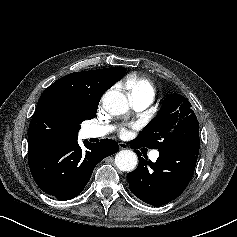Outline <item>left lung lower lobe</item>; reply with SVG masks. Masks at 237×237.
<instances>
[{
  "instance_id": "1",
  "label": "left lung lower lobe",
  "mask_w": 237,
  "mask_h": 237,
  "mask_svg": "<svg viewBox=\"0 0 237 237\" xmlns=\"http://www.w3.org/2000/svg\"><path fill=\"white\" fill-rule=\"evenodd\" d=\"M199 132L191 136L178 149L159 151L153 163L141 157L137 149L144 147L136 140L131 141L139 158L138 167L128 173L130 191L145 203L161 206L177 198L188 186L199 153Z\"/></svg>"
}]
</instances>
